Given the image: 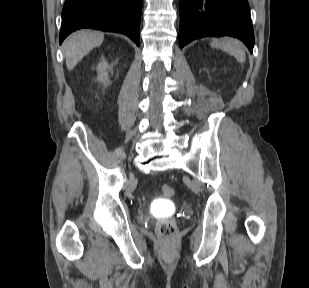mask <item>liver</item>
Returning <instances> with one entry per match:
<instances>
[{
    "label": "liver",
    "instance_id": "liver-1",
    "mask_svg": "<svg viewBox=\"0 0 309 288\" xmlns=\"http://www.w3.org/2000/svg\"><path fill=\"white\" fill-rule=\"evenodd\" d=\"M104 34L99 31L80 30L70 35L63 44L66 66L71 71L92 49L102 44Z\"/></svg>",
    "mask_w": 309,
    "mask_h": 288
}]
</instances>
